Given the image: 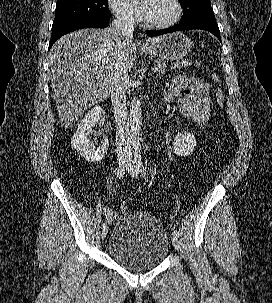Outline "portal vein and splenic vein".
Returning a JSON list of instances; mask_svg holds the SVG:
<instances>
[{"mask_svg": "<svg viewBox=\"0 0 272 303\" xmlns=\"http://www.w3.org/2000/svg\"><path fill=\"white\" fill-rule=\"evenodd\" d=\"M158 69L156 67L152 68V72H156Z\"/></svg>", "mask_w": 272, "mask_h": 303, "instance_id": "18ae733b", "label": "portal vein and splenic vein"}]
</instances>
